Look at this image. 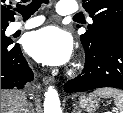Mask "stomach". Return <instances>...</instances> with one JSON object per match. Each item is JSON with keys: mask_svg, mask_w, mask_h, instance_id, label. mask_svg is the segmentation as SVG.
<instances>
[{"mask_svg": "<svg viewBox=\"0 0 123 113\" xmlns=\"http://www.w3.org/2000/svg\"><path fill=\"white\" fill-rule=\"evenodd\" d=\"M78 103L82 109H84L90 113H93L94 111H96V109L98 107V102L92 95L91 96L83 95V96L79 97Z\"/></svg>", "mask_w": 123, "mask_h": 113, "instance_id": "1", "label": "stomach"}]
</instances>
